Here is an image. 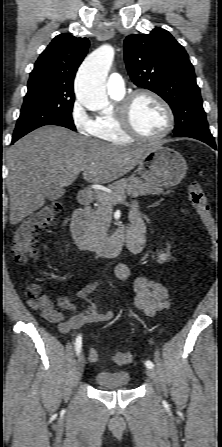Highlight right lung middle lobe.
I'll use <instances>...</instances> for the list:
<instances>
[{"instance_id": "1", "label": "right lung middle lobe", "mask_w": 222, "mask_h": 447, "mask_svg": "<svg viewBox=\"0 0 222 447\" xmlns=\"http://www.w3.org/2000/svg\"><path fill=\"white\" fill-rule=\"evenodd\" d=\"M74 95L57 92L47 85L28 88L13 138H21L44 125L76 130L72 119Z\"/></svg>"}]
</instances>
